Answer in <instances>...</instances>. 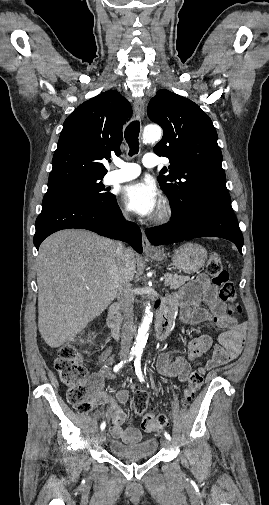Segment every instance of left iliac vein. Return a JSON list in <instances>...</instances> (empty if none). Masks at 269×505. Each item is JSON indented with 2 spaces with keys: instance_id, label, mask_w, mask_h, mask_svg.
<instances>
[{
  "instance_id": "4c4485c4",
  "label": "left iliac vein",
  "mask_w": 269,
  "mask_h": 505,
  "mask_svg": "<svg viewBox=\"0 0 269 505\" xmlns=\"http://www.w3.org/2000/svg\"><path fill=\"white\" fill-rule=\"evenodd\" d=\"M161 444H162V446H164L165 448H169V447H170V442H169V440H168V439H166V438H162V439H161Z\"/></svg>"
}]
</instances>
